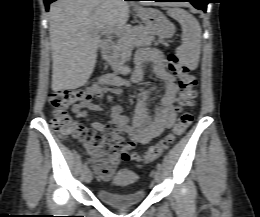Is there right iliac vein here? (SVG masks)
Listing matches in <instances>:
<instances>
[{
	"label": "right iliac vein",
	"mask_w": 260,
	"mask_h": 217,
	"mask_svg": "<svg viewBox=\"0 0 260 217\" xmlns=\"http://www.w3.org/2000/svg\"><path fill=\"white\" fill-rule=\"evenodd\" d=\"M84 178H85V182L86 183H90L91 182V180H92V173H91V171L89 169L85 170Z\"/></svg>",
	"instance_id": "1"
}]
</instances>
